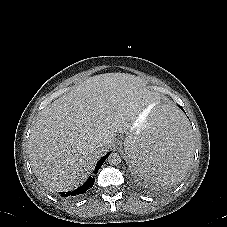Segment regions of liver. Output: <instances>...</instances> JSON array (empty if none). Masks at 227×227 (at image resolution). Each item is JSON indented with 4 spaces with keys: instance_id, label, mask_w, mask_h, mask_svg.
<instances>
[{
    "instance_id": "6515ba94",
    "label": "liver",
    "mask_w": 227,
    "mask_h": 227,
    "mask_svg": "<svg viewBox=\"0 0 227 227\" xmlns=\"http://www.w3.org/2000/svg\"><path fill=\"white\" fill-rule=\"evenodd\" d=\"M142 80L125 73L88 78L45 107L29 139L35 175L51 191L77 188L99 157L127 132L147 105L154 106ZM104 142L95 149L94 143Z\"/></svg>"
}]
</instances>
